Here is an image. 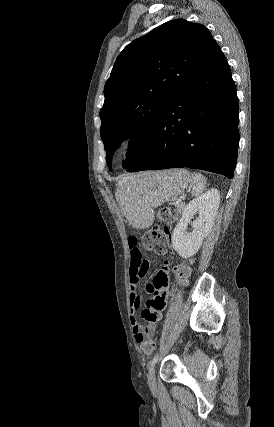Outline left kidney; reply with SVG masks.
<instances>
[{
  "label": "left kidney",
  "instance_id": "1",
  "mask_svg": "<svg viewBox=\"0 0 274 427\" xmlns=\"http://www.w3.org/2000/svg\"><path fill=\"white\" fill-rule=\"evenodd\" d=\"M219 204L220 194L218 190L211 188L185 206L182 217L172 233V245L181 257H191L200 249L204 237L210 233ZM194 215L198 217L191 221ZM188 223L193 227L191 233H185Z\"/></svg>",
  "mask_w": 274,
  "mask_h": 427
}]
</instances>
